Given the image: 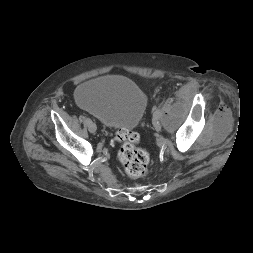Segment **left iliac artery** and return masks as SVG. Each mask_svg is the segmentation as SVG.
<instances>
[{"mask_svg":"<svg viewBox=\"0 0 253 253\" xmlns=\"http://www.w3.org/2000/svg\"><path fill=\"white\" fill-rule=\"evenodd\" d=\"M161 111H160V109L158 108V107H154L153 108V119L155 120V119H157V120H159L160 118H161Z\"/></svg>","mask_w":253,"mask_h":253,"instance_id":"44dca946","label":"left iliac artery"}]
</instances>
